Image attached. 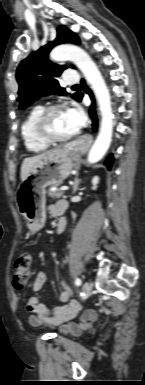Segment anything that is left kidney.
Masks as SVG:
<instances>
[{"instance_id": "obj_1", "label": "left kidney", "mask_w": 145, "mask_h": 385, "mask_svg": "<svg viewBox=\"0 0 145 385\" xmlns=\"http://www.w3.org/2000/svg\"><path fill=\"white\" fill-rule=\"evenodd\" d=\"M99 183V177L98 176H95L93 179H92V189L93 190H96L97 188V184Z\"/></svg>"}]
</instances>
